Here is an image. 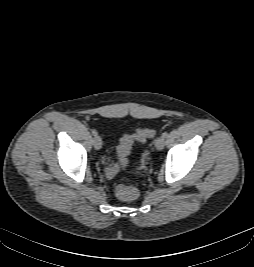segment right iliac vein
<instances>
[{
  "instance_id": "obj_1",
  "label": "right iliac vein",
  "mask_w": 254,
  "mask_h": 267,
  "mask_svg": "<svg viewBox=\"0 0 254 267\" xmlns=\"http://www.w3.org/2000/svg\"><path fill=\"white\" fill-rule=\"evenodd\" d=\"M93 145H94V148L96 150L101 149V147H102V140H101L100 136H95V138L93 139Z\"/></svg>"
}]
</instances>
